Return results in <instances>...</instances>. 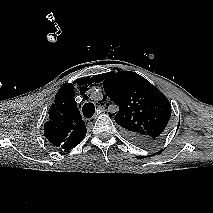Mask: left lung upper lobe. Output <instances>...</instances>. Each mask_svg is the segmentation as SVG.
<instances>
[{
  "mask_svg": "<svg viewBox=\"0 0 213 213\" xmlns=\"http://www.w3.org/2000/svg\"><path fill=\"white\" fill-rule=\"evenodd\" d=\"M100 83L117 106L110 114L132 141L151 144L166 131L171 116V104L160 90L141 75L113 69L101 75Z\"/></svg>",
  "mask_w": 213,
  "mask_h": 213,
  "instance_id": "1",
  "label": "left lung upper lobe"
}]
</instances>
